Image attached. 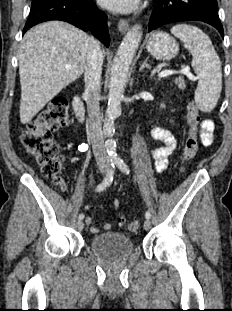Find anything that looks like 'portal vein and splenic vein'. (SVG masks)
<instances>
[{
  "label": "portal vein and splenic vein",
  "instance_id": "1",
  "mask_svg": "<svg viewBox=\"0 0 232 311\" xmlns=\"http://www.w3.org/2000/svg\"><path fill=\"white\" fill-rule=\"evenodd\" d=\"M65 68L66 69H71V65H66ZM175 73H181V74L187 75L191 80H196L197 79L196 77H193L190 74L189 68H184V69L180 70L179 72L174 71V70H163V71H161L159 73V77L163 78V77H167L169 75L175 74Z\"/></svg>",
  "mask_w": 232,
  "mask_h": 311
}]
</instances>
